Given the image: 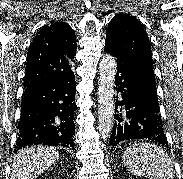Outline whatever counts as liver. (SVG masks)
Instances as JSON below:
<instances>
[{
	"label": "liver",
	"mask_w": 183,
	"mask_h": 179,
	"mask_svg": "<svg viewBox=\"0 0 183 179\" xmlns=\"http://www.w3.org/2000/svg\"><path fill=\"white\" fill-rule=\"evenodd\" d=\"M59 158L52 147L36 145L20 150L13 159L10 179H36Z\"/></svg>",
	"instance_id": "1"
}]
</instances>
